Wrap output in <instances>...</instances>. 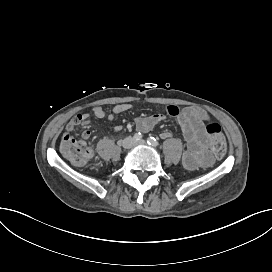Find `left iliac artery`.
Masks as SVG:
<instances>
[{"instance_id": "1", "label": "left iliac artery", "mask_w": 272, "mask_h": 272, "mask_svg": "<svg viewBox=\"0 0 272 272\" xmlns=\"http://www.w3.org/2000/svg\"><path fill=\"white\" fill-rule=\"evenodd\" d=\"M147 143L151 146H158L159 145V142L157 141V139H155L154 137H148L147 138Z\"/></svg>"}]
</instances>
